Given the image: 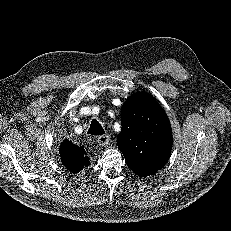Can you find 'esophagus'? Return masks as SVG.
<instances>
[{"instance_id":"34e87169","label":"esophagus","mask_w":231,"mask_h":231,"mask_svg":"<svg viewBox=\"0 0 231 231\" xmlns=\"http://www.w3.org/2000/svg\"><path fill=\"white\" fill-rule=\"evenodd\" d=\"M97 142L100 146H107L110 142L109 135H101L97 138Z\"/></svg>"}]
</instances>
